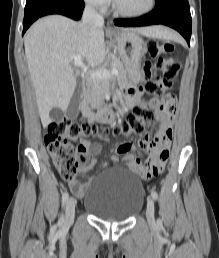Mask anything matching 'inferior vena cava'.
Returning a JSON list of instances; mask_svg holds the SVG:
<instances>
[{
  "instance_id": "obj_1",
  "label": "inferior vena cava",
  "mask_w": 219,
  "mask_h": 258,
  "mask_svg": "<svg viewBox=\"0 0 219 258\" xmlns=\"http://www.w3.org/2000/svg\"><path fill=\"white\" fill-rule=\"evenodd\" d=\"M82 21L84 24L89 25V26H103L104 25V19L101 15H99L94 7L92 5H86L83 16H82Z\"/></svg>"
}]
</instances>
